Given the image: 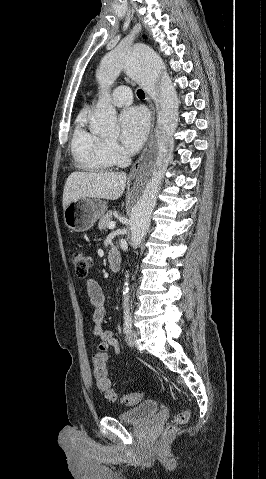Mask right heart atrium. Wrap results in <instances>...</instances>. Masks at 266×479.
Instances as JSON below:
<instances>
[{
    "mask_svg": "<svg viewBox=\"0 0 266 479\" xmlns=\"http://www.w3.org/2000/svg\"><path fill=\"white\" fill-rule=\"evenodd\" d=\"M106 152L113 162L122 165L127 161V157L122 148L114 141H106Z\"/></svg>",
    "mask_w": 266,
    "mask_h": 479,
    "instance_id": "1",
    "label": "right heart atrium"
}]
</instances>
